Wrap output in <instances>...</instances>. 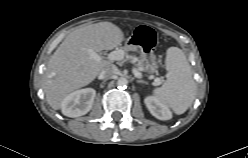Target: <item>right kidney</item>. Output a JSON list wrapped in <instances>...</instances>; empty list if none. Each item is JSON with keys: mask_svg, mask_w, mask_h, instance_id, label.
Returning a JSON list of instances; mask_svg holds the SVG:
<instances>
[{"mask_svg": "<svg viewBox=\"0 0 248 158\" xmlns=\"http://www.w3.org/2000/svg\"><path fill=\"white\" fill-rule=\"evenodd\" d=\"M95 96L96 91L93 88L76 90L64 98L61 111L72 118L85 115L91 110Z\"/></svg>", "mask_w": 248, "mask_h": 158, "instance_id": "right-kidney-1", "label": "right kidney"}]
</instances>
